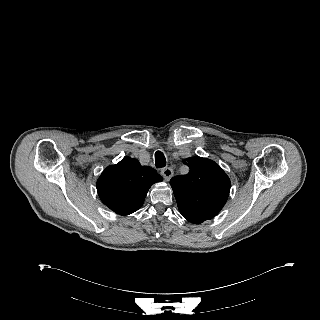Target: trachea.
<instances>
[{"label":"trachea","instance_id":"1","mask_svg":"<svg viewBox=\"0 0 320 320\" xmlns=\"http://www.w3.org/2000/svg\"><path fill=\"white\" fill-rule=\"evenodd\" d=\"M155 165L157 168H163L166 166V158L161 151L155 153Z\"/></svg>","mask_w":320,"mask_h":320}]
</instances>
